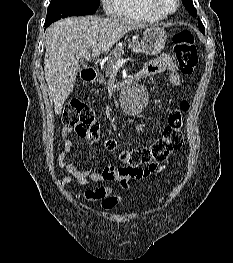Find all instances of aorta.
Wrapping results in <instances>:
<instances>
[{"label":"aorta","mask_w":233,"mask_h":263,"mask_svg":"<svg viewBox=\"0 0 233 263\" xmlns=\"http://www.w3.org/2000/svg\"><path fill=\"white\" fill-rule=\"evenodd\" d=\"M123 105L130 114H138L144 109L145 95L143 89L136 84L126 88L123 96Z\"/></svg>","instance_id":"1"}]
</instances>
